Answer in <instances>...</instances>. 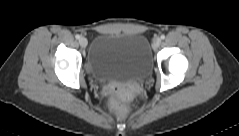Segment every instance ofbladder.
<instances>
[{
    "label": "bladder",
    "mask_w": 239,
    "mask_h": 136,
    "mask_svg": "<svg viewBox=\"0 0 239 136\" xmlns=\"http://www.w3.org/2000/svg\"><path fill=\"white\" fill-rule=\"evenodd\" d=\"M152 65V52L145 36L116 31L96 35L86 62L93 77L106 80L143 78L150 74Z\"/></svg>",
    "instance_id": "31cf9c89"
}]
</instances>
